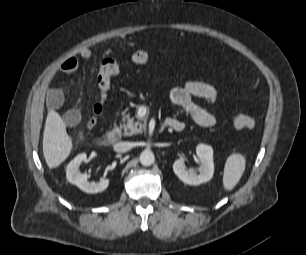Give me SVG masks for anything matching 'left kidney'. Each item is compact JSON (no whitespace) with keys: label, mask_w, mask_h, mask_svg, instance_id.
<instances>
[{"label":"left kidney","mask_w":306,"mask_h":255,"mask_svg":"<svg viewBox=\"0 0 306 255\" xmlns=\"http://www.w3.org/2000/svg\"><path fill=\"white\" fill-rule=\"evenodd\" d=\"M196 154L200 163L199 174L194 169H188L185 159L179 158L173 164V171L176 176L185 184L200 185L212 179L214 173L213 149L209 145L199 144L196 147Z\"/></svg>","instance_id":"5707ae66"}]
</instances>
